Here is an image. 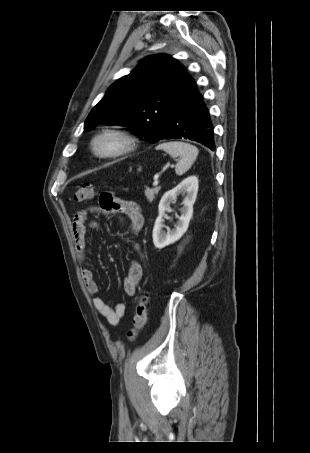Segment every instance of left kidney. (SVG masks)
<instances>
[{"label": "left kidney", "instance_id": "left-kidney-1", "mask_svg": "<svg viewBox=\"0 0 310 453\" xmlns=\"http://www.w3.org/2000/svg\"><path fill=\"white\" fill-rule=\"evenodd\" d=\"M198 192V178L196 176H189L184 179L172 190L166 192L160 202L158 208V217L155 221L153 228V243L158 249H162L174 242L178 241L183 234L187 231L189 222L193 215V205L195 203ZM183 200V207L180 209L181 216L175 225V228L165 232L163 230V216L165 211L170 208L171 204L176 203L178 195H185Z\"/></svg>", "mask_w": 310, "mask_h": 453}]
</instances>
